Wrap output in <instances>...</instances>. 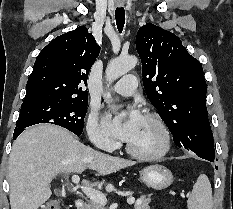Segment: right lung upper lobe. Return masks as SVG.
Listing matches in <instances>:
<instances>
[{
	"label": "right lung upper lobe",
	"mask_w": 233,
	"mask_h": 209,
	"mask_svg": "<svg viewBox=\"0 0 233 209\" xmlns=\"http://www.w3.org/2000/svg\"><path fill=\"white\" fill-rule=\"evenodd\" d=\"M99 52L84 26L53 39L37 56L23 104L88 99L84 86Z\"/></svg>",
	"instance_id": "right-lung-upper-lobe-1"
}]
</instances>
